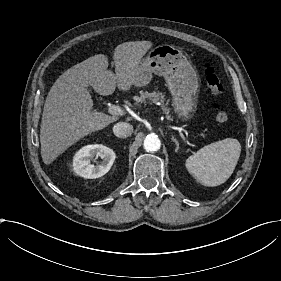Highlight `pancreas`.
Wrapping results in <instances>:
<instances>
[{"label":"pancreas","mask_w":281,"mask_h":281,"mask_svg":"<svg viewBox=\"0 0 281 281\" xmlns=\"http://www.w3.org/2000/svg\"><path fill=\"white\" fill-rule=\"evenodd\" d=\"M133 99L135 101L134 104L138 107H140L142 103H144L146 105L147 103L153 104V103L160 102L162 110L164 111V113H167L170 110L169 108H167L164 105L165 95L162 92H159V91L158 92H156V91H153V92H148V91L143 92V91H141L140 96H134ZM167 118L169 120H172L170 116H167Z\"/></svg>","instance_id":"pancreas-1"}]
</instances>
